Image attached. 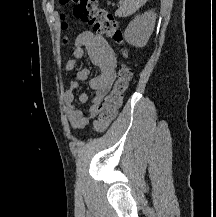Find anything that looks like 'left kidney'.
<instances>
[{
	"label": "left kidney",
	"instance_id": "5707ae66",
	"mask_svg": "<svg viewBox=\"0 0 216 217\" xmlns=\"http://www.w3.org/2000/svg\"><path fill=\"white\" fill-rule=\"evenodd\" d=\"M155 19L156 14L153 11L135 17L124 32L125 40L135 47H144L153 32Z\"/></svg>",
	"mask_w": 216,
	"mask_h": 217
}]
</instances>
